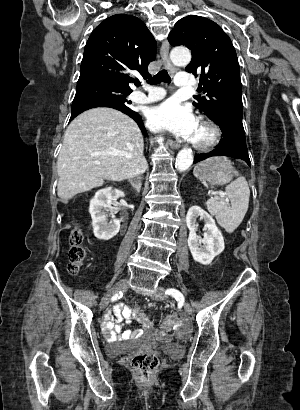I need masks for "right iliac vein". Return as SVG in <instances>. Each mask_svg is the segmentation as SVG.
Returning a JSON list of instances; mask_svg holds the SVG:
<instances>
[{
    "instance_id": "right-iliac-vein-1",
    "label": "right iliac vein",
    "mask_w": 300,
    "mask_h": 410,
    "mask_svg": "<svg viewBox=\"0 0 300 410\" xmlns=\"http://www.w3.org/2000/svg\"><path fill=\"white\" fill-rule=\"evenodd\" d=\"M127 288H128L127 279H123L119 281L118 283H116V285L103 296L100 302V309H105L108 306L109 301L114 294L122 292V291H126Z\"/></svg>"
}]
</instances>
